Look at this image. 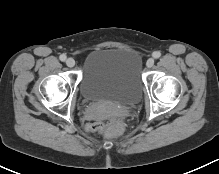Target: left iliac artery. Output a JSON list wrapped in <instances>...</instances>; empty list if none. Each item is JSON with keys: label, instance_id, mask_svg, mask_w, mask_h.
I'll list each match as a JSON object with an SVG mask.
<instances>
[{"label": "left iliac artery", "instance_id": "left-iliac-artery-1", "mask_svg": "<svg viewBox=\"0 0 219 174\" xmlns=\"http://www.w3.org/2000/svg\"><path fill=\"white\" fill-rule=\"evenodd\" d=\"M152 56L157 59V58H159V57L161 56V53H160V51H155V52L152 54Z\"/></svg>", "mask_w": 219, "mask_h": 174}]
</instances>
